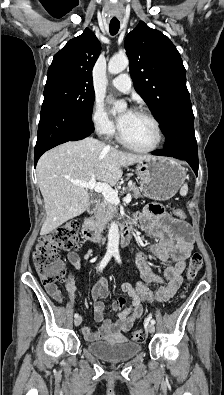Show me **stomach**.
<instances>
[{
  "instance_id": "obj_1",
  "label": "stomach",
  "mask_w": 224,
  "mask_h": 395,
  "mask_svg": "<svg viewBox=\"0 0 224 395\" xmlns=\"http://www.w3.org/2000/svg\"><path fill=\"white\" fill-rule=\"evenodd\" d=\"M136 174L144 196L165 201L172 198L186 178L185 169L174 159L148 157L139 161Z\"/></svg>"
}]
</instances>
